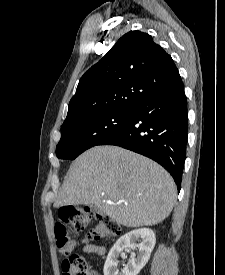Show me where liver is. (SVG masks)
Instances as JSON below:
<instances>
[{"mask_svg":"<svg viewBox=\"0 0 225 275\" xmlns=\"http://www.w3.org/2000/svg\"><path fill=\"white\" fill-rule=\"evenodd\" d=\"M176 185L156 162L117 146H95L71 164L54 207L94 205L126 227L152 226L171 213Z\"/></svg>","mask_w":225,"mask_h":275,"instance_id":"6515ba94","label":"liver"}]
</instances>
